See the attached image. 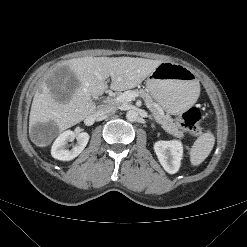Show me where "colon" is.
I'll list each match as a JSON object with an SVG mask.
<instances>
[{
  "label": "colon",
  "instance_id": "1",
  "mask_svg": "<svg viewBox=\"0 0 247 247\" xmlns=\"http://www.w3.org/2000/svg\"><path fill=\"white\" fill-rule=\"evenodd\" d=\"M201 112L197 107H191L178 116L179 126L194 135H201L203 133L200 127Z\"/></svg>",
  "mask_w": 247,
  "mask_h": 247
}]
</instances>
